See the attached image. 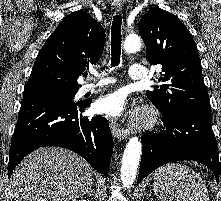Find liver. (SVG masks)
<instances>
[{"instance_id": "1", "label": "liver", "mask_w": 221, "mask_h": 201, "mask_svg": "<svg viewBox=\"0 0 221 201\" xmlns=\"http://www.w3.org/2000/svg\"><path fill=\"white\" fill-rule=\"evenodd\" d=\"M93 169L79 155L58 147L39 148L13 171L15 201H76L92 186Z\"/></svg>"}]
</instances>
